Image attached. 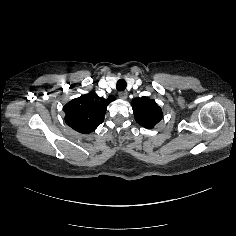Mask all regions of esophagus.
<instances>
[{"label": "esophagus", "instance_id": "34e87169", "mask_svg": "<svg viewBox=\"0 0 236 236\" xmlns=\"http://www.w3.org/2000/svg\"><path fill=\"white\" fill-rule=\"evenodd\" d=\"M127 96H128L127 92L123 91L119 93V98L122 100H126Z\"/></svg>", "mask_w": 236, "mask_h": 236}]
</instances>
